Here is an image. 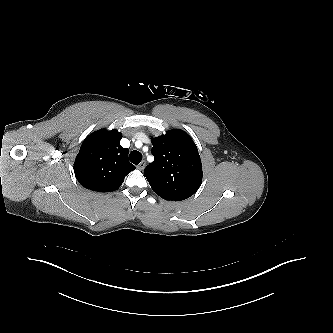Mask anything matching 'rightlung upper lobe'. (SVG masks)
<instances>
[{"label":"right lung upper lobe","instance_id":"cb5924a9","mask_svg":"<svg viewBox=\"0 0 333 333\" xmlns=\"http://www.w3.org/2000/svg\"><path fill=\"white\" fill-rule=\"evenodd\" d=\"M122 134L101 129L83 141L74 162V173L85 188L97 192L117 190L135 169L128 161L129 150L120 145Z\"/></svg>","mask_w":333,"mask_h":333}]
</instances>
